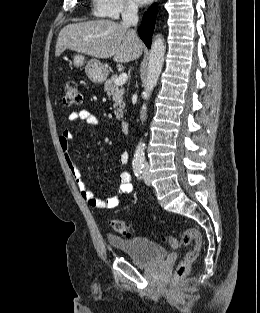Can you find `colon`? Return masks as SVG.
I'll use <instances>...</instances> for the list:
<instances>
[{"label":"colon","instance_id":"obj_1","mask_svg":"<svg viewBox=\"0 0 260 313\" xmlns=\"http://www.w3.org/2000/svg\"><path fill=\"white\" fill-rule=\"evenodd\" d=\"M81 101L82 95L77 83L73 81L66 82L64 85L63 103L66 106H72L80 104ZM110 223L114 231L120 235L131 236L133 233L132 226L121 219H111ZM167 241L174 249L188 246L192 241H194V246L187 251L184 258L179 262L176 268L174 281H178L188 275L192 264L200 255L203 246L202 234L195 228H189L186 229L179 237H167Z\"/></svg>","mask_w":260,"mask_h":313}]
</instances>
